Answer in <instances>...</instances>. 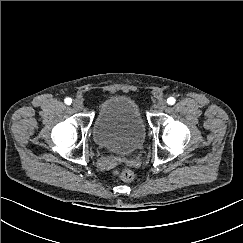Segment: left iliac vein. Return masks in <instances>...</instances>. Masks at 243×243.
Listing matches in <instances>:
<instances>
[{
  "mask_svg": "<svg viewBox=\"0 0 243 243\" xmlns=\"http://www.w3.org/2000/svg\"><path fill=\"white\" fill-rule=\"evenodd\" d=\"M157 109L164 110L167 107V102L165 99H160L156 105Z\"/></svg>",
  "mask_w": 243,
  "mask_h": 243,
  "instance_id": "obj_1",
  "label": "left iliac vein"
}]
</instances>
